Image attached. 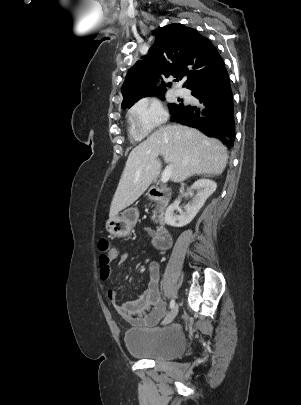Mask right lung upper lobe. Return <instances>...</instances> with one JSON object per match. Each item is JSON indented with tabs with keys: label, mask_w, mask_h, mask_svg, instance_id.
Masks as SVG:
<instances>
[{
	"label": "right lung upper lobe",
	"mask_w": 301,
	"mask_h": 405,
	"mask_svg": "<svg viewBox=\"0 0 301 405\" xmlns=\"http://www.w3.org/2000/svg\"><path fill=\"white\" fill-rule=\"evenodd\" d=\"M155 37L148 55L127 72L122 86L123 109L142 97L165 92V87L155 85L161 76L172 75L180 80L185 77L183 87L192 89L214 79L224 69L216 47L193 28L173 23L159 28Z\"/></svg>",
	"instance_id": "obj_1"
}]
</instances>
